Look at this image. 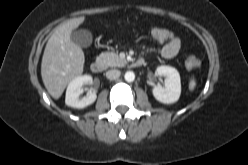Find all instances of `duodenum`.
<instances>
[{
	"mask_svg": "<svg viewBox=\"0 0 248 165\" xmlns=\"http://www.w3.org/2000/svg\"><path fill=\"white\" fill-rule=\"evenodd\" d=\"M142 65V59H138L132 63L133 67H140ZM90 69L93 73H100L104 69V62L101 59L94 60L90 65Z\"/></svg>",
	"mask_w": 248,
	"mask_h": 165,
	"instance_id": "1",
	"label": "duodenum"
}]
</instances>
